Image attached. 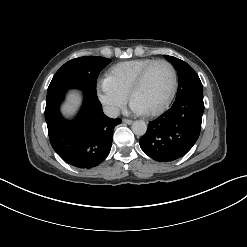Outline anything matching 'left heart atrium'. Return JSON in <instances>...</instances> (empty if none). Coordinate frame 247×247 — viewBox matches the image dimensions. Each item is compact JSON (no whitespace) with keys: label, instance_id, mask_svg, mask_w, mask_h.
<instances>
[{"label":"left heart atrium","instance_id":"1","mask_svg":"<svg viewBox=\"0 0 247 247\" xmlns=\"http://www.w3.org/2000/svg\"><path fill=\"white\" fill-rule=\"evenodd\" d=\"M130 109L135 114H143V113H145L144 109L133 100L131 101Z\"/></svg>","mask_w":247,"mask_h":247}]
</instances>
